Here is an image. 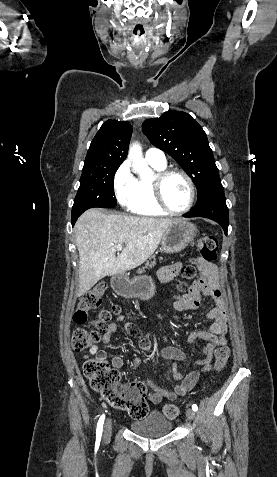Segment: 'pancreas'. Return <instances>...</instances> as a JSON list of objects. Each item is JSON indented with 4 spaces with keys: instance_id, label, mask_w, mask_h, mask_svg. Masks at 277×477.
Instances as JSON below:
<instances>
[{
    "instance_id": "pancreas-1",
    "label": "pancreas",
    "mask_w": 277,
    "mask_h": 477,
    "mask_svg": "<svg viewBox=\"0 0 277 477\" xmlns=\"http://www.w3.org/2000/svg\"><path fill=\"white\" fill-rule=\"evenodd\" d=\"M152 259H153L152 261H150V262H149V261H148V262H146V264H145V269L152 268V267H153V266L156 264V262H155V258H154V257H152Z\"/></svg>"
}]
</instances>
